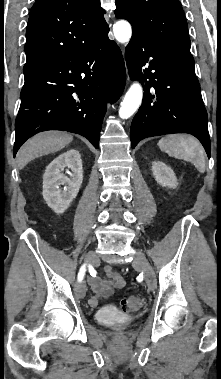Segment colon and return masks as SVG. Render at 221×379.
<instances>
[{"mask_svg": "<svg viewBox=\"0 0 221 379\" xmlns=\"http://www.w3.org/2000/svg\"><path fill=\"white\" fill-rule=\"evenodd\" d=\"M143 297L140 295H130L122 300L121 305L126 310H137L143 304Z\"/></svg>", "mask_w": 221, "mask_h": 379, "instance_id": "5ec220e1", "label": "colon"}]
</instances>
